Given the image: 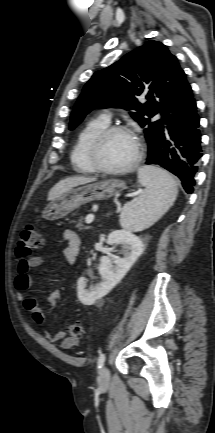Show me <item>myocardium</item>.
<instances>
[{
	"instance_id": "myocardium-1",
	"label": "myocardium",
	"mask_w": 215,
	"mask_h": 433,
	"mask_svg": "<svg viewBox=\"0 0 215 433\" xmlns=\"http://www.w3.org/2000/svg\"><path fill=\"white\" fill-rule=\"evenodd\" d=\"M114 133H122L131 136L136 143V152L133 157V159L125 166L120 168H109L103 166L99 160H98V150L102 144V142L109 137L110 135ZM143 154V143L141 139L138 137V135L132 131L130 128L126 126L121 125H110L106 128L102 129L99 133H97L94 138L91 140L89 146H88V160L91 164V166L94 168L95 171L105 173V174H111V175H121L126 174L133 169H135L142 158Z\"/></svg>"
}]
</instances>
